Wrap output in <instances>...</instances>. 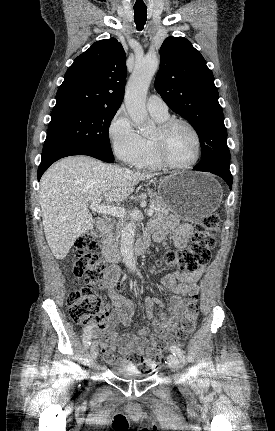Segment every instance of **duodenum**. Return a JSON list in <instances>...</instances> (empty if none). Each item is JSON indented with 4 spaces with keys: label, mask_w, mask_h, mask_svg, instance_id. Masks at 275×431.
<instances>
[{
    "label": "duodenum",
    "mask_w": 275,
    "mask_h": 431,
    "mask_svg": "<svg viewBox=\"0 0 275 431\" xmlns=\"http://www.w3.org/2000/svg\"><path fill=\"white\" fill-rule=\"evenodd\" d=\"M108 221L105 219H101L98 223V228L101 232L106 231L108 228ZM150 245V237L145 234L141 238H139L135 244V254L141 255L143 254ZM104 257L110 263H116L121 259L120 253L118 249L113 245H106L104 248Z\"/></svg>",
    "instance_id": "1"
}]
</instances>
